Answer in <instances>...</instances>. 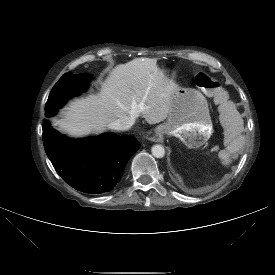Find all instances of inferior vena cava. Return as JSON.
Instances as JSON below:
<instances>
[{
  "label": "inferior vena cava",
  "instance_id": "602c4592",
  "mask_svg": "<svg viewBox=\"0 0 275 275\" xmlns=\"http://www.w3.org/2000/svg\"><path fill=\"white\" fill-rule=\"evenodd\" d=\"M135 122V118L131 116H122L116 121H114L111 125L110 128L114 130H128L132 127V125Z\"/></svg>",
  "mask_w": 275,
  "mask_h": 275
}]
</instances>
